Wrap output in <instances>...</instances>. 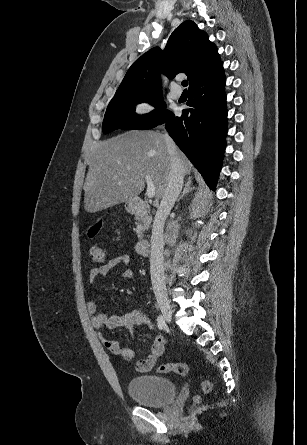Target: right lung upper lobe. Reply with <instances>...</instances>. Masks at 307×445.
<instances>
[{"mask_svg":"<svg viewBox=\"0 0 307 445\" xmlns=\"http://www.w3.org/2000/svg\"><path fill=\"white\" fill-rule=\"evenodd\" d=\"M220 64L216 46L187 20L171 34L164 51L152 48L132 64L112 100L162 93L161 73L174 78L185 72L191 86Z\"/></svg>","mask_w":307,"mask_h":445,"instance_id":"obj_1","label":"right lung upper lobe"}]
</instances>
